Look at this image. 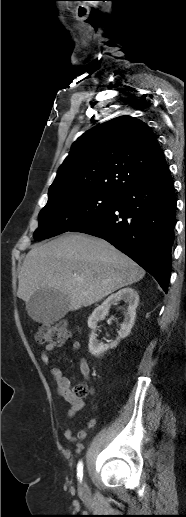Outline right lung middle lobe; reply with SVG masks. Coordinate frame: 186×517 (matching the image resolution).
I'll list each match as a JSON object with an SVG mask.
<instances>
[{
  "instance_id": "obj_1",
  "label": "right lung middle lobe",
  "mask_w": 186,
  "mask_h": 517,
  "mask_svg": "<svg viewBox=\"0 0 186 517\" xmlns=\"http://www.w3.org/2000/svg\"><path fill=\"white\" fill-rule=\"evenodd\" d=\"M119 195L97 192L76 193L48 200L39 213L35 240L47 239L104 213L116 204Z\"/></svg>"
}]
</instances>
